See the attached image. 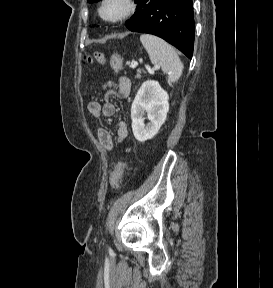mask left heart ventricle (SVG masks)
I'll return each instance as SVG.
<instances>
[{"mask_svg":"<svg viewBox=\"0 0 273 288\" xmlns=\"http://www.w3.org/2000/svg\"><path fill=\"white\" fill-rule=\"evenodd\" d=\"M122 9L123 5L119 1L113 0L105 6L103 13L107 17H114L118 15Z\"/></svg>","mask_w":273,"mask_h":288,"instance_id":"1","label":"left heart ventricle"}]
</instances>
